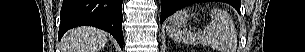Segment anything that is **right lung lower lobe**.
<instances>
[{"label":"right lung lower lobe","instance_id":"right-lung-lower-lobe-1","mask_svg":"<svg viewBox=\"0 0 305 52\" xmlns=\"http://www.w3.org/2000/svg\"><path fill=\"white\" fill-rule=\"evenodd\" d=\"M123 0H64L60 12L59 39L77 26H94L113 35L123 49Z\"/></svg>","mask_w":305,"mask_h":52}]
</instances>
